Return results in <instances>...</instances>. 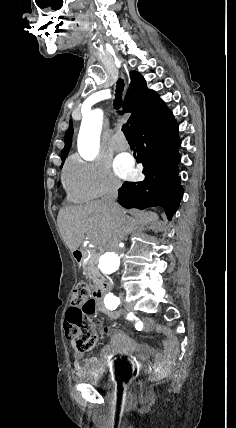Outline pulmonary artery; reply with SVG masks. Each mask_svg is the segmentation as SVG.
I'll list each match as a JSON object with an SVG mask.
<instances>
[{
    "label": "pulmonary artery",
    "mask_w": 236,
    "mask_h": 428,
    "mask_svg": "<svg viewBox=\"0 0 236 428\" xmlns=\"http://www.w3.org/2000/svg\"><path fill=\"white\" fill-rule=\"evenodd\" d=\"M114 148H115V150H117V151H126V150H128L129 145H128V143L125 141V142H121V143L116 144Z\"/></svg>",
    "instance_id": "pulmonary-artery-1"
}]
</instances>
